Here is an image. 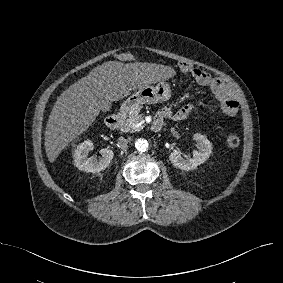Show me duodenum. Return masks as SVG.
Segmentation results:
<instances>
[{
    "mask_svg": "<svg viewBox=\"0 0 283 283\" xmlns=\"http://www.w3.org/2000/svg\"><path fill=\"white\" fill-rule=\"evenodd\" d=\"M122 112H117L111 116H109L107 119H106V125L108 128L110 129H116L119 127L121 121H122ZM162 119L157 117L155 118V120L153 121L152 125H151V128L153 131L157 132V131H160L161 128H162Z\"/></svg>",
    "mask_w": 283,
    "mask_h": 283,
    "instance_id": "duodenum-1",
    "label": "duodenum"
}]
</instances>
